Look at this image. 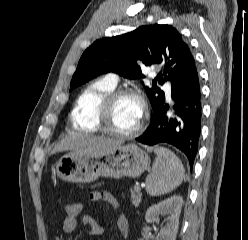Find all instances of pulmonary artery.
<instances>
[{"label": "pulmonary artery", "mask_w": 248, "mask_h": 240, "mask_svg": "<svg viewBox=\"0 0 248 240\" xmlns=\"http://www.w3.org/2000/svg\"><path fill=\"white\" fill-rule=\"evenodd\" d=\"M107 80L114 85H117V83H118V78L114 74L108 75ZM164 89L166 91V94L169 96L170 95V87L166 86V87H164Z\"/></svg>", "instance_id": "pulmonary-artery-1"}]
</instances>
